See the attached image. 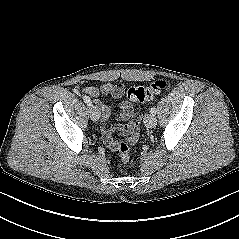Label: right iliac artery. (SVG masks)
Returning a JSON list of instances; mask_svg holds the SVG:
<instances>
[{
	"label": "right iliac artery",
	"instance_id": "82829eb1",
	"mask_svg": "<svg viewBox=\"0 0 239 239\" xmlns=\"http://www.w3.org/2000/svg\"><path fill=\"white\" fill-rule=\"evenodd\" d=\"M83 100L88 106H92V102L88 96H86V95L83 96Z\"/></svg>",
	"mask_w": 239,
	"mask_h": 239
}]
</instances>
